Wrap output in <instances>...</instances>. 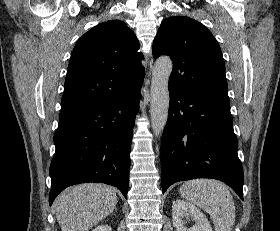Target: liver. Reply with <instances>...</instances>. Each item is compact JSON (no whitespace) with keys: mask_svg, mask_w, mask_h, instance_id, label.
<instances>
[{"mask_svg":"<svg viewBox=\"0 0 280 231\" xmlns=\"http://www.w3.org/2000/svg\"><path fill=\"white\" fill-rule=\"evenodd\" d=\"M54 205L62 231H89L115 209L116 189L104 183L72 185L56 197Z\"/></svg>","mask_w":280,"mask_h":231,"instance_id":"liver-1","label":"liver"}]
</instances>
